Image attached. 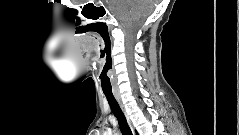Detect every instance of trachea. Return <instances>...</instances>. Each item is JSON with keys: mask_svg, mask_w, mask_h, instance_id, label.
Segmentation results:
<instances>
[{"mask_svg": "<svg viewBox=\"0 0 239 135\" xmlns=\"http://www.w3.org/2000/svg\"><path fill=\"white\" fill-rule=\"evenodd\" d=\"M104 94L107 98V101L110 105L112 112L114 113L115 117L118 120L122 135H132L131 129L129 128L126 118H125L117 100L115 99L113 93H104Z\"/></svg>", "mask_w": 239, "mask_h": 135, "instance_id": "trachea-1", "label": "trachea"}]
</instances>
